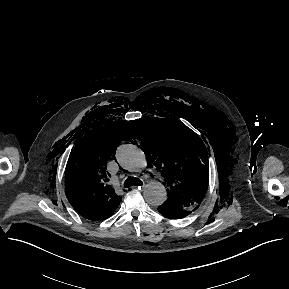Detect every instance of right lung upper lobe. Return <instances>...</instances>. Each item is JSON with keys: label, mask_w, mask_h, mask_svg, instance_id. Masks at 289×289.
I'll return each mask as SVG.
<instances>
[{"label": "right lung upper lobe", "mask_w": 289, "mask_h": 289, "mask_svg": "<svg viewBox=\"0 0 289 289\" xmlns=\"http://www.w3.org/2000/svg\"><path fill=\"white\" fill-rule=\"evenodd\" d=\"M95 127L76 144L67 163L65 191L72 207L84 218L100 221L110 217L121 201L107 185L110 174L106 162L127 137V121H115Z\"/></svg>", "instance_id": "obj_1"}]
</instances>
